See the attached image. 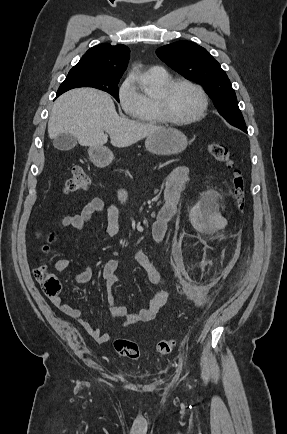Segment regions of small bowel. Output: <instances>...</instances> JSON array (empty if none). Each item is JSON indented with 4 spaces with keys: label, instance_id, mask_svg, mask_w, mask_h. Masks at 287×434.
Returning <instances> with one entry per match:
<instances>
[{
    "label": "small bowel",
    "instance_id": "small-bowel-1",
    "mask_svg": "<svg viewBox=\"0 0 287 434\" xmlns=\"http://www.w3.org/2000/svg\"><path fill=\"white\" fill-rule=\"evenodd\" d=\"M189 182V171L185 166H177L173 168L165 179V190L163 200L159 206L157 218L152 228V237L155 242L161 243L166 239L168 225L171 219L177 212L179 199ZM127 197L126 191L120 193V199L125 200ZM104 214L106 218V238H114L120 233L119 216L120 211L117 204L105 205V202L100 197H95L90 200L81 210L80 213L70 215L64 218L60 226V231L67 228H74L78 231H84L88 226L94 214ZM133 261L142 268L145 272L147 280L154 285H159L164 282V277L154 265L149 256L142 250H136L133 254ZM69 261L67 259H57L54 263V268L58 272L67 269ZM119 265L118 259H110L107 261L102 270V277L113 285L116 282V270ZM93 269L87 266L83 271L73 275L75 283H86L91 280ZM169 294L164 289L156 290L149 299L148 306L139 313H130L128 309L120 305L113 294L109 296L110 311L112 314L124 317L123 327H128L137 322H148L152 320L157 312L166 304ZM52 302L66 315L74 318L85 329L93 339L98 343H106L110 339L108 333L102 332L99 328L91 326L82 318V313L79 309L72 307L64 302L60 297L51 298Z\"/></svg>",
    "mask_w": 287,
    "mask_h": 434
}]
</instances>
